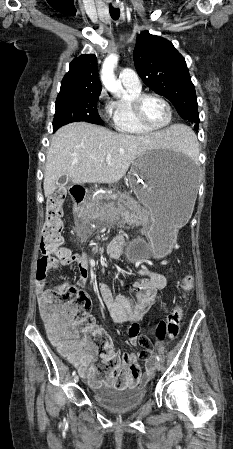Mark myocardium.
<instances>
[{
    "mask_svg": "<svg viewBox=\"0 0 233 449\" xmlns=\"http://www.w3.org/2000/svg\"><path fill=\"white\" fill-rule=\"evenodd\" d=\"M151 97L157 98L158 100H160L166 106V108L168 110V119L163 125L153 126V125L149 124L143 116V112H142L143 102L147 98H151ZM131 106H132V112H133V115H134L136 121L142 127L146 128L150 131H158V130L164 129L168 125H170V123L172 122V117H173L172 107H171L170 103L168 102V100L158 93H153V92L141 93L138 96H136L135 98H133Z\"/></svg>",
    "mask_w": 233,
    "mask_h": 449,
    "instance_id": "myocardium-1",
    "label": "myocardium"
}]
</instances>
